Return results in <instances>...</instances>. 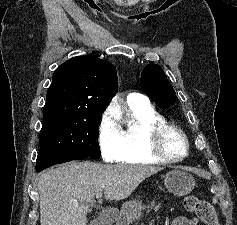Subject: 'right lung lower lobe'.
I'll list each match as a JSON object with an SVG mask.
<instances>
[{
	"instance_id": "98d812e1",
	"label": "right lung lower lobe",
	"mask_w": 237,
	"mask_h": 225,
	"mask_svg": "<svg viewBox=\"0 0 237 225\" xmlns=\"http://www.w3.org/2000/svg\"><path fill=\"white\" fill-rule=\"evenodd\" d=\"M84 158H86V156L73 152L40 150L36 161V171L40 172L45 168L56 164L65 163L72 160H82Z\"/></svg>"
}]
</instances>
